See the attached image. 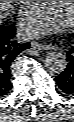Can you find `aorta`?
<instances>
[{"mask_svg":"<svg viewBox=\"0 0 74 122\" xmlns=\"http://www.w3.org/2000/svg\"><path fill=\"white\" fill-rule=\"evenodd\" d=\"M67 58L60 52H49L44 58V65L49 72L60 74L67 68Z\"/></svg>","mask_w":74,"mask_h":122,"instance_id":"762f6f07","label":"aorta"}]
</instances>
